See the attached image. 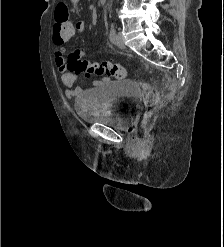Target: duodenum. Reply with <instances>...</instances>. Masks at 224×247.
I'll list each match as a JSON object with an SVG mask.
<instances>
[{
  "label": "duodenum",
  "instance_id": "1",
  "mask_svg": "<svg viewBox=\"0 0 224 247\" xmlns=\"http://www.w3.org/2000/svg\"><path fill=\"white\" fill-rule=\"evenodd\" d=\"M101 5H104L106 3V0H99Z\"/></svg>",
  "mask_w": 224,
  "mask_h": 247
}]
</instances>
